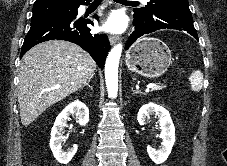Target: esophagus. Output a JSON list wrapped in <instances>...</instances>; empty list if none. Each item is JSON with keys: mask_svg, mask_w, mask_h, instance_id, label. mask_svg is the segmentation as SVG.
<instances>
[{"mask_svg": "<svg viewBox=\"0 0 227 166\" xmlns=\"http://www.w3.org/2000/svg\"><path fill=\"white\" fill-rule=\"evenodd\" d=\"M109 41L111 44H115L119 41V36L117 35H109Z\"/></svg>", "mask_w": 227, "mask_h": 166, "instance_id": "34e87169", "label": "esophagus"}]
</instances>
